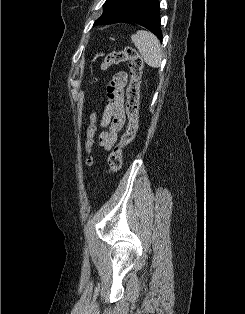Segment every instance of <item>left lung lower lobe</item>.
<instances>
[{
    "label": "left lung lower lobe",
    "instance_id": "1",
    "mask_svg": "<svg viewBox=\"0 0 245 314\" xmlns=\"http://www.w3.org/2000/svg\"><path fill=\"white\" fill-rule=\"evenodd\" d=\"M160 8L158 0H146L140 11L129 22H135L157 36L162 40V32L160 29Z\"/></svg>",
    "mask_w": 245,
    "mask_h": 314
}]
</instances>
